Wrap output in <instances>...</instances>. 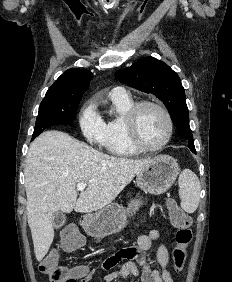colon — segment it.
I'll return each instance as SVG.
<instances>
[{"instance_id":"obj_1","label":"colon","mask_w":232,"mask_h":282,"mask_svg":"<svg viewBox=\"0 0 232 282\" xmlns=\"http://www.w3.org/2000/svg\"><path fill=\"white\" fill-rule=\"evenodd\" d=\"M170 221L176 229L175 247L172 251L174 268L183 269L187 256V247L192 241L190 217L179 207L175 200L167 201ZM61 247L66 251H75L83 245V239L73 229H65L61 234ZM40 270L50 277L51 282H81L84 267L68 269L58 264L56 254H49L40 265Z\"/></svg>"}]
</instances>
